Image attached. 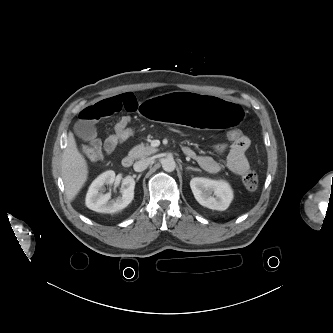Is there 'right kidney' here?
Listing matches in <instances>:
<instances>
[{
	"instance_id": "1",
	"label": "right kidney",
	"mask_w": 333,
	"mask_h": 333,
	"mask_svg": "<svg viewBox=\"0 0 333 333\" xmlns=\"http://www.w3.org/2000/svg\"><path fill=\"white\" fill-rule=\"evenodd\" d=\"M114 171H106L99 175L90 185L86 195V206L100 213H115L127 207L134 198L135 181L131 176L122 180L120 197L111 200V193L103 194V185L112 184Z\"/></svg>"
}]
</instances>
